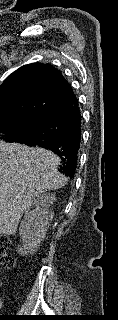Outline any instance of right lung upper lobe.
<instances>
[{"mask_svg":"<svg viewBox=\"0 0 118 320\" xmlns=\"http://www.w3.org/2000/svg\"><path fill=\"white\" fill-rule=\"evenodd\" d=\"M74 97L71 86L53 66L24 65L0 85V120H46Z\"/></svg>","mask_w":118,"mask_h":320,"instance_id":"obj_1","label":"right lung upper lobe"}]
</instances>
